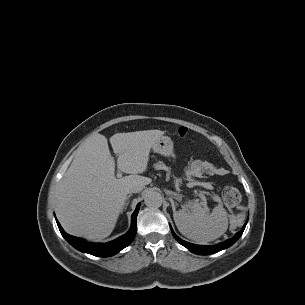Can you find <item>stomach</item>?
Instances as JSON below:
<instances>
[{
    "instance_id": "obj_1",
    "label": "stomach",
    "mask_w": 305,
    "mask_h": 305,
    "mask_svg": "<svg viewBox=\"0 0 305 305\" xmlns=\"http://www.w3.org/2000/svg\"><path fill=\"white\" fill-rule=\"evenodd\" d=\"M152 150L155 153H159V154H161V155H163L165 157H168V158H174L175 157L173 141L168 136H162L152 146ZM180 183H181L180 179H176L175 180L176 187H179Z\"/></svg>"
}]
</instances>
